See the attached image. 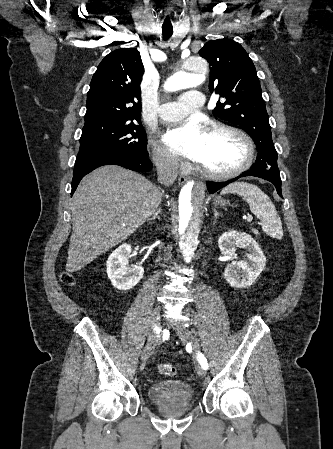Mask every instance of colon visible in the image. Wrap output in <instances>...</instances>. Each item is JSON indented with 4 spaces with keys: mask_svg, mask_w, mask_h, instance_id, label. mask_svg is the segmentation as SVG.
<instances>
[{
    "mask_svg": "<svg viewBox=\"0 0 333 449\" xmlns=\"http://www.w3.org/2000/svg\"><path fill=\"white\" fill-rule=\"evenodd\" d=\"M61 281L63 284L70 286L74 283V278L69 272H63L61 274ZM157 368L165 376H173L176 373V368L169 363H160Z\"/></svg>",
    "mask_w": 333,
    "mask_h": 449,
    "instance_id": "5ec220e1",
    "label": "colon"
}]
</instances>
